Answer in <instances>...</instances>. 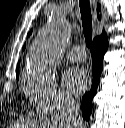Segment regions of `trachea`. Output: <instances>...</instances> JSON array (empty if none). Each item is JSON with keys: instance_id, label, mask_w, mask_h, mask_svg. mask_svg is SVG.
<instances>
[{"instance_id": "1", "label": "trachea", "mask_w": 125, "mask_h": 128, "mask_svg": "<svg viewBox=\"0 0 125 128\" xmlns=\"http://www.w3.org/2000/svg\"><path fill=\"white\" fill-rule=\"evenodd\" d=\"M83 33L86 46L89 48L92 43V15L89 0H79Z\"/></svg>"}]
</instances>
